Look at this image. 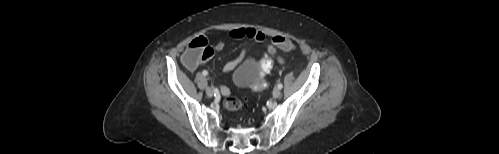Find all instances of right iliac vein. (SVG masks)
<instances>
[{"label": "right iliac vein", "mask_w": 499, "mask_h": 154, "mask_svg": "<svg viewBox=\"0 0 499 154\" xmlns=\"http://www.w3.org/2000/svg\"><path fill=\"white\" fill-rule=\"evenodd\" d=\"M206 94L209 96V97H212L213 96V89L211 87H207L206 88Z\"/></svg>", "instance_id": "right-iliac-vein-1"}]
</instances>
